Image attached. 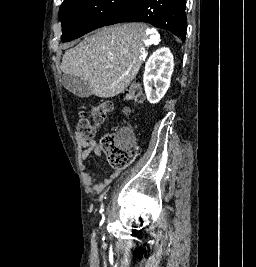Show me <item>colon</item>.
Listing matches in <instances>:
<instances>
[{
	"label": "colon",
	"instance_id": "colon-1",
	"mask_svg": "<svg viewBox=\"0 0 256 267\" xmlns=\"http://www.w3.org/2000/svg\"><path fill=\"white\" fill-rule=\"evenodd\" d=\"M123 98L128 103H141L144 98V90L141 83L133 81L129 88L123 92ZM113 108L111 101H105L93 106L89 110L79 112L77 119L78 133L86 139H92L95 135V126L90 119L100 125L110 115ZM128 113V109H123ZM101 149L106 153L111 167L124 168L135 160L137 144L134 134L129 128H123L116 134L104 136L100 141Z\"/></svg>",
	"mask_w": 256,
	"mask_h": 267
}]
</instances>
